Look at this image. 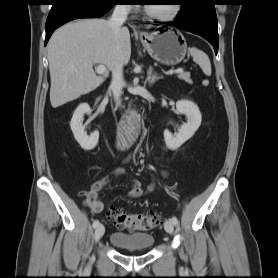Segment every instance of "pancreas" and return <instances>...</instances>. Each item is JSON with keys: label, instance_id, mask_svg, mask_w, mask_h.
<instances>
[{"label": "pancreas", "instance_id": "obj_1", "mask_svg": "<svg viewBox=\"0 0 278 278\" xmlns=\"http://www.w3.org/2000/svg\"><path fill=\"white\" fill-rule=\"evenodd\" d=\"M178 78L184 80L187 83H192V80L190 78V73H188V72L180 73L178 75Z\"/></svg>", "mask_w": 278, "mask_h": 278}]
</instances>
